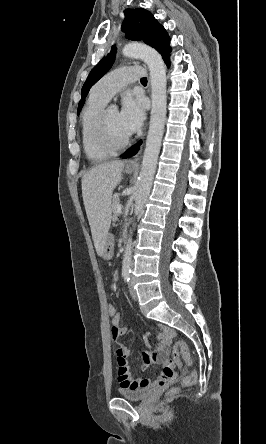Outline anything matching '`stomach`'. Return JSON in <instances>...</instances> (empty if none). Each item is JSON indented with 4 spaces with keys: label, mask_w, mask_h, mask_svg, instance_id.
I'll list each match as a JSON object with an SVG mask.
<instances>
[{
    "label": "stomach",
    "mask_w": 266,
    "mask_h": 444,
    "mask_svg": "<svg viewBox=\"0 0 266 444\" xmlns=\"http://www.w3.org/2000/svg\"><path fill=\"white\" fill-rule=\"evenodd\" d=\"M125 171H126L128 174H131V173H133L135 170H134V169L126 168ZM112 255H113V237H112L110 234H108V236H107V238H106V241H105V244H104V249H103V254H102V256H103L105 259H110V258L112 257Z\"/></svg>",
    "instance_id": "stomach-1"
}]
</instances>
